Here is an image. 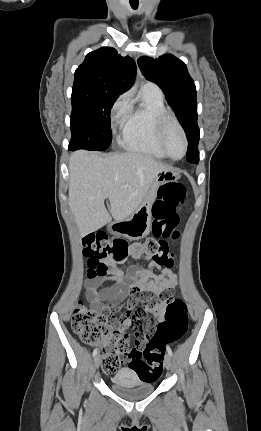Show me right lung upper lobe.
I'll return each instance as SVG.
<instances>
[{"label":"right lung upper lobe","mask_w":261,"mask_h":431,"mask_svg":"<svg viewBox=\"0 0 261 431\" xmlns=\"http://www.w3.org/2000/svg\"><path fill=\"white\" fill-rule=\"evenodd\" d=\"M136 64L111 47H102L86 55L76 69L74 84H85L122 94L134 83Z\"/></svg>","instance_id":"right-lung-upper-lobe-1"}]
</instances>
